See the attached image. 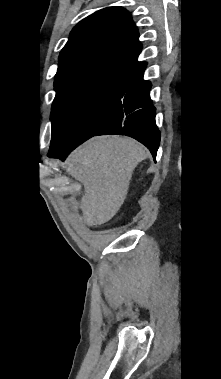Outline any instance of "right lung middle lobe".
<instances>
[{
    "label": "right lung middle lobe",
    "mask_w": 221,
    "mask_h": 379,
    "mask_svg": "<svg viewBox=\"0 0 221 379\" xmlns=\"http://www.w3.org/2000/svg\"><path fill=\"white\" fill-rule=\"evenodd\" d=\"M122 80L100 78L56 93L52 105V139L75 142L92 137L114 109Z\"/></svg>",
    "instance_id": "right-lung-middle-lobe-1"
}]
</instances>
